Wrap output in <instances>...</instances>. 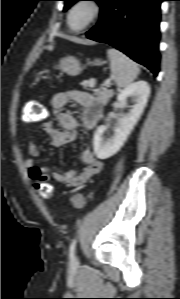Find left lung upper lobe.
<instances>
[{"instance_id": "left-lung-upper-lobe-1", "label": "left lung upper lobe", "mask_w": 180, "mask_h": 299, "mask_svg": "<svg viewBox=\"0 0 180 299\" xmlns=\"http://www.w3.org/2000/svg\"><path fill=\"white\" fill-rule=\"evenodd\" d=\"M63 1H65L64 11H66L74 2L81 1V0H63ZM91 1H96L100 4L103 0H91Z\"/></svg>"}]
</instances>
